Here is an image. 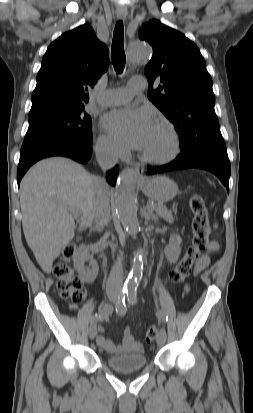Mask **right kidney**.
Instances as JSON below:
<instances>
[{"mask_svg":"<svg viewBox=\"0 0 253 413\" xmlns=\"http://www.w3.org/2000/svg\"><path fill=\"white\" fill-rule=\"evenodd\" d=\"M86 261L90 262L89 267H85ZM73 263L83 281L93 282L96 279L99 266L96 260L93 259V256L90 255L88 248L80 246L73 256Z\"/></svg>","mask_w":253,"mask_h":413,"instance_id":"obj_1","label":"right kidney"}]
</instances>
